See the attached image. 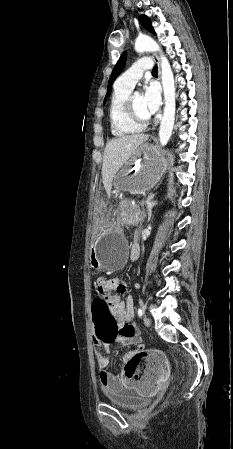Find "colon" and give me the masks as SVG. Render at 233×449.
Segmentation results:
<instances>
[{"mask_svg": "<svg viewBox=\"0 0 233 449\" xmlns=\"http://www.w3.org/2000/svg\"><path fill=\"white\" fill-rule=\"evenodd\" d=\"M90 309L91 330L92 334H97V343H117L119 331L116 320L112 318V314L108 310V302L101 300L91 301ZM124 361L126 362L124 377L126 375H141L142 368L148 363L146 351L140 349L126 356Z\"/></svg>", "mask_w": 233, "mask_h": 449, "instance_id": "1", "label": "colon"}]
</instances>
